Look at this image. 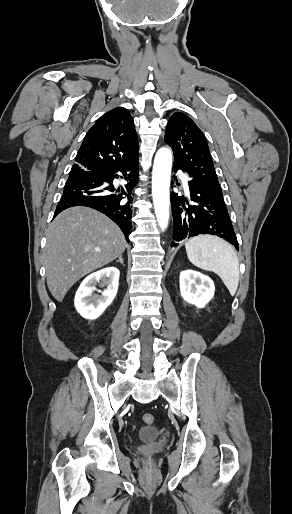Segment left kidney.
Instances as JSON below:
<instances>
[{"instance_id":"obj_1","label":"left kidney","mask_w":292,"mask_h":514,"mask_svg":"<svg viewBox=\"0 0 292 514\" xmlns=\"http://www.w3.org/2000/svg\"><path fill=\"white\" fill-rule=\"evenodd\" d=\"M180 292L183 300L204 308L212 300L215 292L214 282L208 276L195 270H184L180 274Z\"/></svg>"}]
</instances>
